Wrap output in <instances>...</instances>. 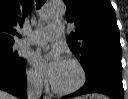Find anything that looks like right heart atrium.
Returning <instances> with one entry per match:
<instances>
[{
  "instance_id": "obj_1",
  "label": "right heart atrium",
  "mask_w": 128,
  "mask_h": 99,
  "mask_svg": "<svg viewBox=\"0 0 128 99\" xmlns=\"http://www.w3.org/2000/svg\"><path fill=\"white\" fill-rule=\"evenodd\" d=\"M26 77L28 84L34 88H39L44 84L43 76L35 68H29Z\"/></svg>"
}]
</instances>
